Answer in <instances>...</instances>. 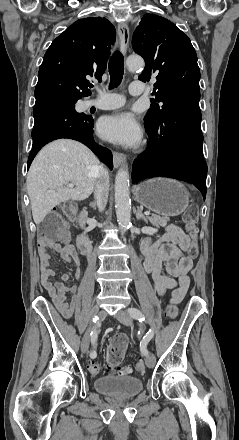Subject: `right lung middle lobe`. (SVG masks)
Returning <instances> with one entry per match:
<instances>
[{
    "mask_svg": "<svg viewBox=\"0 0 239 440\" xmlns=\"http://www.w3.org/2000/svg\"><path fill=\"white\" fill-rule=\"evenodd\" d=\"M57 98H60V99H63V100H67V101L72 102V103H76L77 100L81 99V98H65V97H57Z\"/></svg>",
    "mask_w": 239,
    "mask_h": 440,
    "instance_id": "dd1d6c3e",
    "label": "right lung middle lobe"
}]
</instances>
